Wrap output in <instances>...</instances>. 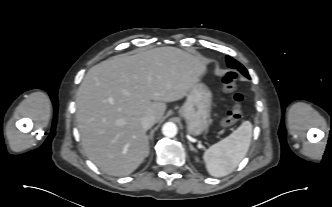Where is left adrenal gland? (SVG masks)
<instances>
[{
  "label": "left adrenal gland",
  "instance_id": "a2214340",
  "mask_svg": "<svg viewBox=\"0 0 332 207\" xmlns=\"http://www.w3.org/2000/svg\"><path fill=\"white\" fill-rule=\"evenodd\" d=\"M189 145H190V149L193 150L194 148H193V146L191 145V143H189Z\"/></svg>",
  "mask_w": 332,
  "mask_h": 207
}]
</instances>
